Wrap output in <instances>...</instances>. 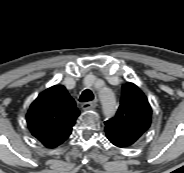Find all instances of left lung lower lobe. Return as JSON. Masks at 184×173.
<instances>
[{"label": "left lung lower lobe", "mask_w": 184, "mask_h": 173, "mask_svg": "<svg viewBox=\"0 0 184 173\" xmlns=\"http://www.w3.org/2000/svg\"><path fill=\"white\" fill-rule=\"evenodd\" d=\"M107 138L108 140L113 144L115 145L116 147H119V148H125V147H128L125 143H123L121 140L117 139L116 137L114 136H111V135H107Z\"/></svg>", "instance_id": "1"}]
</instances>
